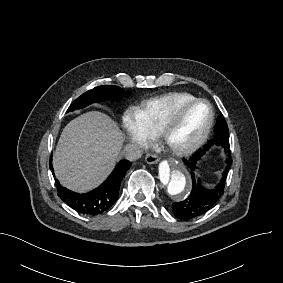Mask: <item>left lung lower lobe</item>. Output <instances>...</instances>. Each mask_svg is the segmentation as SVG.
Returning a JSON list of instances; mask_svg holds the SVG:
<instances>
[{"mask_svg":"<svg viewBox=\"0 0 283 283\" xmlns=\"http://www.w3.org/2000/svg\"><path fill=\"white\" fill-rule=\"evenodd\" d=\"M214 145L221 146L228 158L220 182L213 189H207L202 186L200 179H197L194 172L197 169L196 163L204 155L205 151ZM183 161L191 171L192 190L188 198L182 202L173 203L172 208L173 213L177 218L190 220L199 217L210 210L224 193L225 180L232 164V158L229 149V130L222 113L218 116L214 128V138L208 142L204 150L199 149V151L191 158L184 159Z\"/></svg>","mask_w":283,"mask_h":283,"instance_id":"1","label":"left lung lower lobe"}]
</instances>
